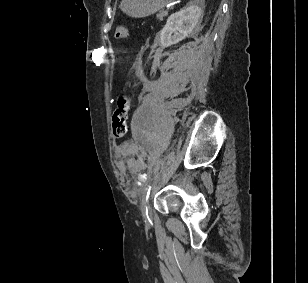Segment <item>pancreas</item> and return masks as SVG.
Masks as SVG:
<instances>
[{
  "label": "pancreas",
  "mask_w": 308,
  "mask_h": 283,
  "mask_svg": "<svg viewBox=\"0 0 308 283\" xmlns=\"http://www.w3.org/2000/svg\"><path fill=\"white\" fill-rule=\"evenodd\" d=\"M168 15V12L166 11H160L158 14H157V18L158 20L162 21L163 20V17L167 16Z\"/></svg>",
  "instance_id": "obj_1"
}]
</instances>
